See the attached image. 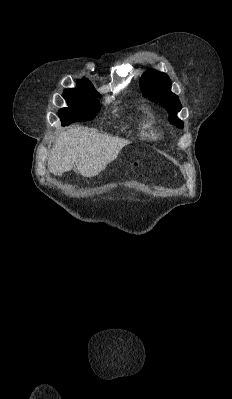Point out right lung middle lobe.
<instances>
[{"mask_svg": "<svg viewBox=\"0 0 232 399\" xmlns=\"http://www.w3.org/2000/svg\"><path fill=\"white\" fill-rule=\"evenodd\" d=\"M99 95H64L68 104L67 108L59 110L62 125H69L73 122L88 121L98 114L100 110Z\"/></svg>", "mask_w": 232, "mask_h": 399, "instance_id": "dd1d6c3e", "label": "right lung middle lobe"}]
</instances>
